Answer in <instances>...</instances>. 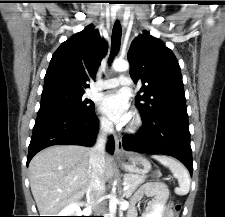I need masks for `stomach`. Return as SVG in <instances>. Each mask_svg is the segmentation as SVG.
<instances>
[{
  "label": "stomach",
  "mask_w": 225,
  "mask_h": 217,
  "mask_svg": "<svg viewBox=\"0 0 225 217\" xmlns=\"http://www.w3.org/2000/svg\"><path fill=\"white\" fill-rule=\"evenodd\" d=\"M122 168L129 174L144 175L151 169L147 158L137 153H126L120 160Z\"/></svg>",
  "instance_id": "1"
}]
</instances>
